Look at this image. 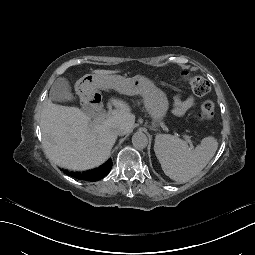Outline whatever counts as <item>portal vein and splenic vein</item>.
I'll return each mask as SVG.
<instances>
[{"instance_id": "portal-vein-and-splenic-vein-1", "label": "portal vein and splenic vein", "mask_w": 255, "mask_h": 255, "mask_svg": "<svg viewBox=\"0 0 255 255\" xmlns=\"http://www.w3.org/2000/svg\"><path fill=\"white\" fill-rule=\"evenodd\" d=\"M104 117H105L106 119H109V118L111 117V114H110L109 112H106V113L104 114V116H103L102 114H99L98 116H95V117L93 118V121H94L95 123H98L99 121H102V120L104 119ZM184 138H185V141L188 143V146H189L190 148H193V147L195 146V143L192 141V137H191L190 135H185Z\"/></svg>"}]
</instances>
